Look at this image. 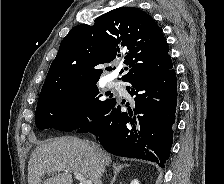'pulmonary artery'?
I'll list each match as a JSON object with an SVG mask.
<instances>
[{"instance_id":"pulmonary-artery-1","label":"pulmonary artery","mask_w":224,"mask_h":184,"mask_svg":"<svg viewBox=\"0 0 224 184\" xmlns=\"http://www.w3.org/2000/svg\"><path fill=\"white\" fill-rule=\"evenodd\" d=\"M109 86L112 88V89H115V90H121L122 89V85L117 82V81H111L109 83Z\"/></svg>"}]
</instances>
